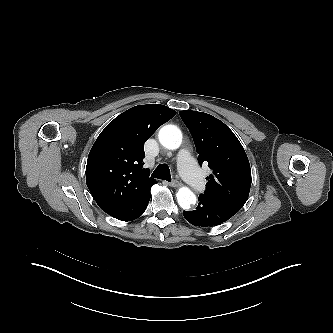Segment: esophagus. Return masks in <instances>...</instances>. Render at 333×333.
Returning <instances> with one entry per match:
<instances>
[{
  "instance_id": "obj_1",
  "label": "esophagus",
  "mask_w": 333,
  "mask_h": 333,
  "mask_svg": "<svg viewBox=\"0 0 333 333\" xmlns=\"http://www.w3.org/2000/svg\"><path fill=\"white\" fill-rule=\"evenodd\" d=\"M169 185L171 186V187H180L181 186V183L179 182V181H177V180H174V181H172V182H170L169 183Z\"/></svg>"
}]
</instances>
